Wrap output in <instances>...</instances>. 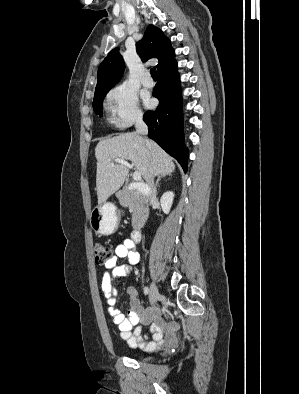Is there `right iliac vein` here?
<instances>
[{
  "label": "right iliac vein",
  "instance_id": "63e3f726",
  "mask_svg": "<svg viewBox=\"0 0 299 394\" xmlns=\"http://www.w3.org/2000/svg\"><path fill=\"white\" fill-rule=\"evenodd\" d=\"M159 298V292L154 282L150 285L149 301L151 305H155Z\"/></svg>",
  "mask_w": 299,
  "mask_h": 394
}]
</instances>
